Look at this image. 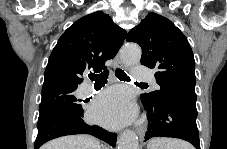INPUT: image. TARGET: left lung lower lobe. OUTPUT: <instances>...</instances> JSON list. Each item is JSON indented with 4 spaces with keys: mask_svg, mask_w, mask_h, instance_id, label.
Returning <instances> with one entry per match:
<instances>
[{
    "mask_svg": "<svg viewBox=\"0 0 227 149\" xmlns=\"http://www.w3.org/2000/svg\"><path fill=\"white\" fill-rule=\"evenodd\" d=\"M141 100L148 115L145 141L154 137L179 138L200 149L196 105L178 99L151 102L142 95Z\"/></svg>",
    "mask_w": 227,
    "mask_h": 149,
    "instance_id": "obj_1",
    "label": "left lung lower lobe"
}]
</instances>
